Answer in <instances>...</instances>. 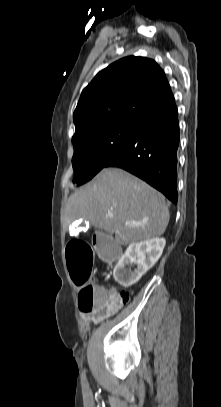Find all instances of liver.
<instances>
[{
  "label": "liver",
  "instance_id": "1",
  "mask_svg": "<svg viewBox=\"0 0 221 407\" xmlns=\"http://www.w3.org/2000/svg\"><path fill=\"white\" fill-rule=\"evenodd\" d=\"M67 212L68 222L85 220L97 229L115 234L120 245L161 236L170 218L160 192L119 168L103 169L93 181L73 193Z\"/></svg>",
  "mask_w": 221,
  "mask_h": 407
}]
</instances>
